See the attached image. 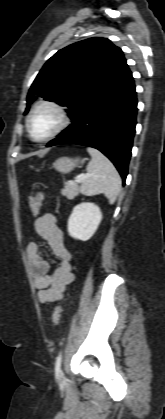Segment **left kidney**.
<instances>
[{
  "instance_id": "5707ae66",
  "label": "left kidney",
  "mask_w": 165,
  "mask_h": 419,
  "mask_svg": "<svg viewBox=\"0 0 165 419\" xmlns=\"http://www.w3.org/2000/svg\"><path fill=\"white\" fill-rule=\"evenodd\" d=\"M102 220L100 208L94 203H81L73 208L68 219V233L71 237L87 241L96 232Z\"/></svg>"
}]
</instances>
